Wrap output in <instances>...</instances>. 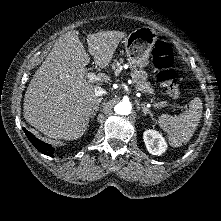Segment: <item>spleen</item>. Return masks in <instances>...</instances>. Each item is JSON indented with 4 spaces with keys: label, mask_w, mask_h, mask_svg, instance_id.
<instances>
[{
    "label": "spleen",
    "mask_w": 221,
    "mask_h": 221,
    "mask_svg": "<svg viewBox=\"0 0 221 221\" xmlns=\"http://www.w3.org/2000/svg\"><path fill=\"white\" fill-rule=\"evenodd\" d=\"M202 109L201 99L194 97L184 113L176 117L168 114L159 116L158 125L167 133L171 146L179 147L191 139L201 119Z\"/></svg>",
    "instance_id": "3e777b00"
}]
</instances>
